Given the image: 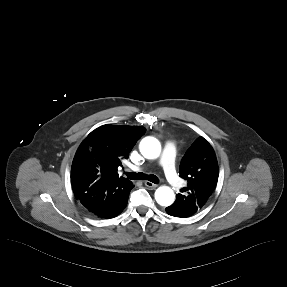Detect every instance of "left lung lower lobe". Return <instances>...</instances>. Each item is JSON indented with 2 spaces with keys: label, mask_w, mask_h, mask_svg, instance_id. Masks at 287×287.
Segmentation results:
<instances>
[{
  "label": "left lung lower lobe",
  "mask_w": 287,
  "mask_h": 287,
  "mask_svg": "<svg viewBox=\"0 0 287 287\" xmlns=\"http://www.w3.org/2000/svg\"><path fill=\"white\" fill-rule=\"evenodd\" d=\"M166 211L169 215L175 217H188L195 213L193 210L182 208L178 202H174L171 206L167 207Z\"/></svg>",
  "instance_id": "left-lung-lower-lobe-1"
}]
</instances>
